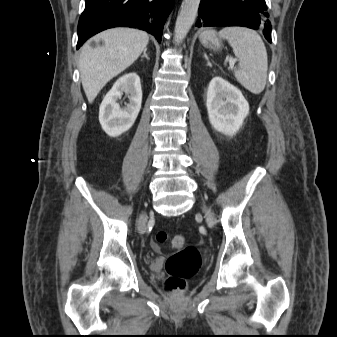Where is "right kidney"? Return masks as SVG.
Wrapping results in <instances>:
<instances>
[{
  "label": "right kidney",
  "mask_w": 337,
  "mask_h": 337,
  "mask_svg": "<svg viewBox=\"0 0 337 337\" xmlns=\"http://www.w3.org/2000/svg\"><path fill=\"white\" fill-rule=\"evenodd\" d=\"M123 93L129 98V104L120 107L118 100ZM142 103L140 78L135 72L120 77L104 97L99 108V121L102 129L112 137L128 131L134 124Z\"/></svg>",
  "instance_id": "ca27d5eb"
}]
</instances>
